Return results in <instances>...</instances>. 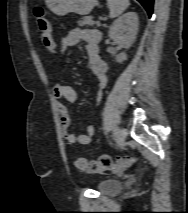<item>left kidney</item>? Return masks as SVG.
I'll use <instances>...</instances> for the list:
<instances>
[{
    "label": "left kidney",
    "mask_w": 188,
    "mask_h": 213,
    "mask_svg": "<svg viewBox=\"0 0 188 213\" xmlns=\"http://www.w3.org/2000/svg\"><path fill=\"white\" fill-rule=\"evenodd\" d=\"M138 26V15L135 12H127L112 23L108 35L119 47L129 49L136 39ZM126 59L127 55L123 52L118 54L115 60L122 63Z\"/></svg>",
    "instance_id": "obj_1"
}]
</instances>
